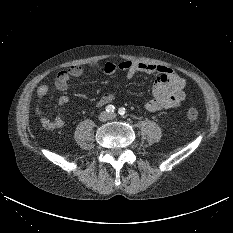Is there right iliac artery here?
<instances>
[{
	"label": "right iliac artery",
	"mask_w": 233,
	"mask_h": 233,
	"mask_svg": "<svg viewBox=\"0 0 233 233\" xmlns=\"http://www.w3.org/2000/svg\"><path fill=\"white\" fill-rule=\"evenodd\" d=\"M105 109L107 112H111V113L115 111V107L113 105H108L106 106Z\"/></svg>",
	"instance_id": "right-iliac-artery-1"
}]
</instances>
